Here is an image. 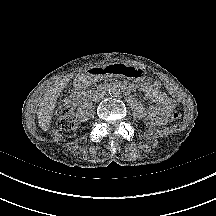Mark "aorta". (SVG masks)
Instances as JSON below:
<instances>
[{"mask_svg":"<svg viewBox=\"0 0 216 216\" xmlns=\"http://www.w3.org/2000/svg\"><path fill=\"white\" fill-rule=\"evenodd\" d=\"M109 93L113 97H118L120 95V89L117 86H113L109 89Z\"/></svg>","mask_w":216,"mask_h":216,"instance_id":"aorta-1","label":"aorta"}]
</instances>
